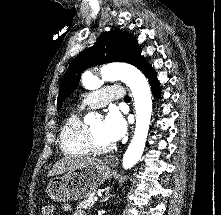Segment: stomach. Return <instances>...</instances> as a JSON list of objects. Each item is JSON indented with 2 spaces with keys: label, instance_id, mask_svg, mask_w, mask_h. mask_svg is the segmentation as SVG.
I'll return each instance as SVG.
<instances>
[{
  "label": "stomach",
  "instance_id": "stomach-1",
  "mask_svg": "<svg viewBox=\"0 0 221 215\" xmlns=\"http://www.w3.org/2000/svg\"><path fill=\"white\" fill-rule=\"evenodd\" d=\"M111 168L101 160H94L83 168L69 171L49 181L48 196L56 202L81 200L93 195L99 186L110 179Z\"/></svg>",
  "mask_w": 221,
  "mask_h": 215
}]
</instances>
